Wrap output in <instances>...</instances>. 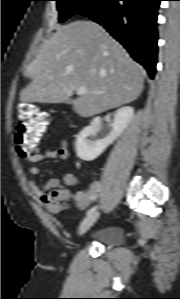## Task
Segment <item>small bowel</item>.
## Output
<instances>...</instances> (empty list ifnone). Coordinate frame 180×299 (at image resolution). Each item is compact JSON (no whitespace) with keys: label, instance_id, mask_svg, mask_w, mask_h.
Instances as JSON below:
<instances>
[{"label":"small bowel","instance_id":"c3829d8e","mask_svg":"<svg viewBox=\"0 0 180 299\" xmlns=\"http://www.w3.org/2000/svg\"><path fill=\"white\" fill-rule=\"evenodd\" d=\"M50 132L51 130L47 131L46 134L48 135ZM44 142L45 137L41 135V137L37 141L36 146H42ZM69 156L70 154L66 142L62 141L58 149L47 150L42 153H37L33 155L30 159H28V161L32 163V165L29 168L30 174L35 176L40 173V167L36 164L38 162L44 160H53L56 158L66 161L69 159ZM64 181L69 186H75L78 184V178L73 173L66 174L64 177ZM59 184L60 180L58 178L48 179L41 187L38 186L33 180L29 181V187L31 191L34 193V195L38 198L39 202L45 207V209L49 213H56L58 211V205L53 200V197H60L61 195L57 191H54L53 195L51 196L48 194V192L58 187ZM97 187L98 183L94 182L87 191H77L75 193H72L69 190H65L63 196H73L76 201L77 208L84 209L87 206H89L94 200Z\"/></svg>","mask_w":180,"mask_h":299}]
</instances>
